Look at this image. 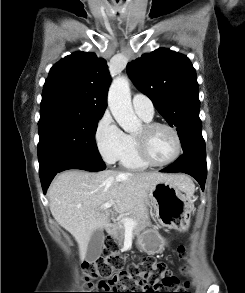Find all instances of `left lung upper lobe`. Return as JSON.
Masks as SVG:
<instances>
[{"label":"left lung upper lobe","mask_w":245,"mask_h":293,"mask_svg":"<svg viewBox=\"0 0 245 293\" xmlns=\"http://www.w3.org/2000/svg\"><path fill=\"white\" fill-rule=\"evenodd\" d=\"M127 73L168 124L176 127L183 152L206 156L196 71L187 56L159 48L128 63Z\"/></svg>","instance_id":"obj_1"}]
</instances>
